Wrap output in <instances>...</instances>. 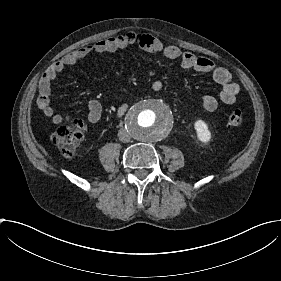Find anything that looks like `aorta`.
Masks as SVG:
<instances>
[{
  "label": "aorta",
  "mask_w": 281,
  "mask_h": 281,
  "mask_svg": "<svg viewBox=\"0 0 281 281\" xmlns=\"http://www.w3.org/2000/svg\"><path fill=\"white\" fill-rule=\"evenodd\" d=\"M130 135L142 142L165 138L173 126V114L162 101L147 99L133 105L126 116Z\"/></svg>",
  "instance_id": "1"
}]
</instances>
